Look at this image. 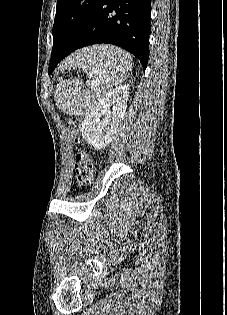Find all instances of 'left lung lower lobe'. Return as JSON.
I'll list each match as a JSON object with an SVG mask.
<instances>
[{
  "instance_id": "1",
  "label": "left lung lower lobe",
  "mask_w": 227,
  "mask_h": 315,
  "mask_svg": "<svg viewBox=\"0 0 227 315\" xmlns=\"http://www.w3.org/2000/svg\"><path fill=\"white\" fill-rule=\"evenodd\" d=\"M150 6L151 0H102L69 46L52 51L49 73L73 51L100 43L129 51L145 70L149 56Z\"/></svg>"
}]
</instances>
